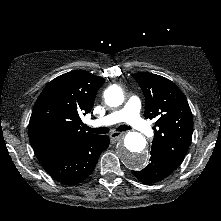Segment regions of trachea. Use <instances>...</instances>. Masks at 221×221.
Listing matches in <instances>:
<instances>
[{"label": "trachea", "instance_id": "1", "mask_svg": "<svg viewBox=\"0 0 221 221\" xmlns=\"http://www.w3.org/2000/svg\"><path fill=\"white\" fill-rule=\"evenodd\" d=\"M84 128L89 131V132H93V133H96V134H106L109 132V128L107 127H99V128H91V127H88V126H84ZM131 128L127 125H120L117 130L118 131H127V130H130Z\"/></svg>", "mask_w": 221, "mask_h": 221}]
</instances>
